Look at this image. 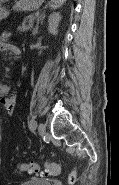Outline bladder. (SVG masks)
<instances>
[{
    "label": "bladder",
    "instance_id": "1",
    "mask_svg": "<svg viewBox=\"0 0 119 185\" xmlns=\"http://www.w3.org/2000/svg\"><path fill=\"white\" fill-rule=\"evenodd\" d=\"M19 185H52V183L43 179H28L21 182Z\"/></svg>",
    "mask_w": 119,
    "mask_h": 185
}]
</instances>
